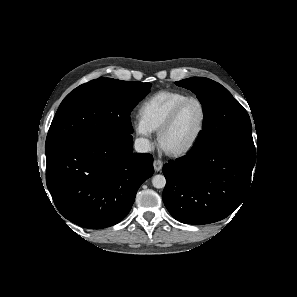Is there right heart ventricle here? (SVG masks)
Listing matches in <instances>:
<instances>
[{"instance_id":"right-heart-ventricle-1","label":"right heart ventricle","mask_w":297,"mask_h":297,"mask_svg":"<svg viewBox=\"0 0 297 297\" xmlns=\"http://www.w3.org/2000/svg\"><path fill=\"white\" fill-rule=\"evenodd\" d=\"M189 97L180 91H159L142 103L139 110L140 119L151 132H156L172 110Z\"/></svg>"}]
</instances>
